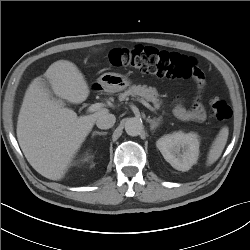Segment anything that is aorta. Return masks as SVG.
Segmentation results:
<instances>
[{
  "mask_svg": "<svg viewBox=\"0 0 250 250\" xmlns=\"http://www.w3.org/2000/svg\"><path fill=\"white\" fill-rule=\"evenodd\" d=\"M143 129L142 122L137 118H129L125 122V131L130 136H138Z\"/></svg>",
  "mask_w": 250,
  "mask_h": 250,
  "instance_id": "762f6f07",
  "label": "aorta"
}]
</instances>
